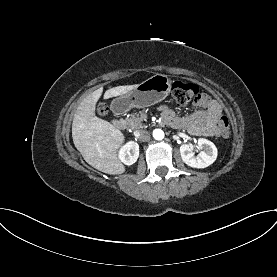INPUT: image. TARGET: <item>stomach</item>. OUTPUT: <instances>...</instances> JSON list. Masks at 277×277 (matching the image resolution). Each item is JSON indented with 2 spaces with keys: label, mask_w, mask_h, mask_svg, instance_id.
I'll return each instance as SVG.
<instances>
[{
  "label": "stomach",
  "mask_w": 277,
  "mask_h": 277,
  "mask_svg": "<svg viewBox=\"0 0 277 277\" xmlns=\"http://www.w3.org/2000/svg\"><path fill=\"white\" fill-rule=\"evenodd\" d=\"M170 90V78L167 75L156 74L132 91L114 99L111 108L116 113H125L131 108L148 107L165 99Z\"/></svg>",
  "instance_id": "obj_1"
}]
</instances>
